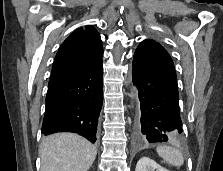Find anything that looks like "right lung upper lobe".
<instances>
[{
    "instance_id": "right-lung-upper-lobe-1",
    "label": "right lung upper lobe",
    "mask_w": 223,
    "mask_h": 171,
    "mask_svg": "<svg viewBox=\"0 0 223 171\" xmlns=\"http://www.w3.org/2000/svg\"><path fill=\"white\" fill-rule=\"evenodd\" d=\"M99 33L92 25L75 30L59 48L49 83L80 75L102 62Z\"/></svg>"
}]
</instances>
